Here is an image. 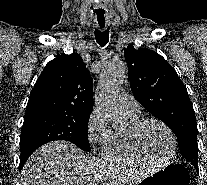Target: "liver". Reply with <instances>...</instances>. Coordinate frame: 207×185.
<instances>
[{
  "label": "liver",
  "mask_w": 207,
  "mask_h": 185,
  "mask_svg": "<svg viewBox=\"0 0 207 185\" xmlns=\"http://www.w3.org/2000/svg\"><path fill=\"white\" fill-rule=\"evenodd\" d=\"M97 163L69 141H51L34 151L22 171V185H77L93 181Z\"/></svg>",
  "instance_id": "6515ba94"
}]
</instances>
